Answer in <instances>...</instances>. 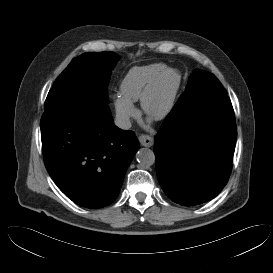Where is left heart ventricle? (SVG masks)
I'll return each mask as SVG.
<instances>
[{"instance_id": "left-heart-ventricle-1", "label": "left heart ventricle", "mask_w": 273, "mask_h": 273, "mask_svg": "<svg viewBox=\"0 0 273 273\" xmlns=\"http://www.w3.org/2000/svg\"><path fill=\"white\" fill-rule=\"evenodd\" d=\"M173 81L174 77L169 75L161 82L153 98L149 102V108L153 114H157L169 100Z\"/></svg>"}]
</instances>
